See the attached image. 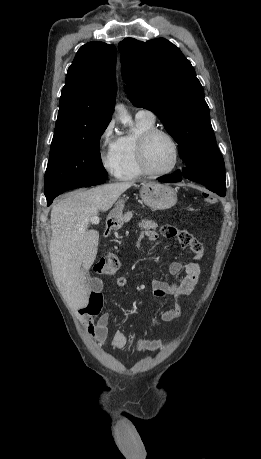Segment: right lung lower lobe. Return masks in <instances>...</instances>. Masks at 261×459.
<instances>
[{
	"instance_id": "1",
	"label": "right lung lower lobe",
	"mask_w": 261,
	"mask_h": 459,
	"mask_svg": "<svg viewBox=\"0 0 261 459\" xmlns=\"http://www.w3.org/2000/svg\"><path fill=\"white\" fill-rule=\"evenodd\" d=\"M104 182H105V180H99V181H95V182H88V183L76 185L74 187H71L70 189H75V188H80V187H89V186H92V185L102 184ZM70 189H68V190H70ZM58 195L47 197L48 206L52 203L53 199L55 197H57Z\"/></svg>"
}]
</instances>
